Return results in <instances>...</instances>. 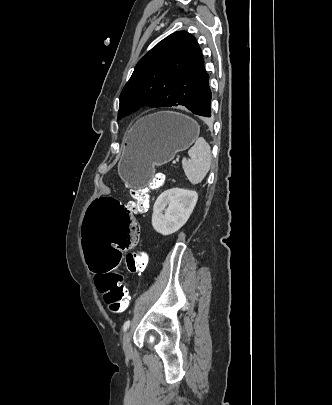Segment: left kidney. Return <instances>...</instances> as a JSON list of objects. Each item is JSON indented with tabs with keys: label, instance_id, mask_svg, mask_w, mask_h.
Listing matches in <instances>:
<instances>
[{
	"label": "left kidney",
	"instance_id": "left-kidney-1",
	"mask_svg": "<svg viewBox=\"0 0 332 405\" xmlns=\"http://www.w3.org/2000/svg\"><path fill=\"white\" fill-rule=\"evenodd\" d=\"M198 200L192 190L172 188L160 194L154 204L152 226L162 235L178 231L189 219Z\"/></svg>",
	"mask_w": 332,
	"mask_h": 405
}]
</instances>
